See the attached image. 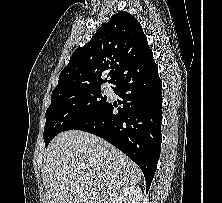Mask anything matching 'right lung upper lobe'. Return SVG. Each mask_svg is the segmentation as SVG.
I'll return each instance as SVG.
<instances>
[{
    "instance_id": "1",
    "label": "right lung upper lobe",
    "mask_w": 222,
    "mask_h": 203,
    "mask_svg": "<svg viewBox=\"0 0 222 203\" xmlns=\"http://www.w3.org/2000/svg\"><path fill=\"white\" fill-rule=\"evenodd\" d=\"M153 60L152 50L140 23L128 12L114 14L104 23L91 40L72 54L69 64L61 71L57 87L53 90L84 85L109 83L137 67Z\"/></svg>"
}]
</instances>
